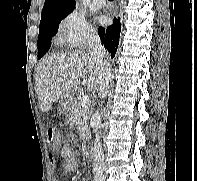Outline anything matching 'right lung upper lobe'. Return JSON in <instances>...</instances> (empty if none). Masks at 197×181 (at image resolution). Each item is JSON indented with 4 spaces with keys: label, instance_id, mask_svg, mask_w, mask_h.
Wrapping results in <instances>:
<instances>
[{
    "label": "right lung upper lobe",
    "instance_id": "obj_1",
    "mask_svg": "<svg viewBox=\"0 0 197 181\" xmlns=\"http://www.w3.org/2000/svg\"><path fill=\"white\" fill-rule=\"evenodd\" d=\"M75 8V0H45L41 17L71 11Z\"/></svg>",
    "mask_w": 197,
    "mask_h": 181
}]
</instances>
